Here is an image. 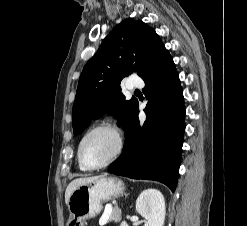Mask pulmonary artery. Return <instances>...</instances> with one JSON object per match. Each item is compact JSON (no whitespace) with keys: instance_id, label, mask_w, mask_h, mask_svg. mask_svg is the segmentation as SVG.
I'll return each instance as SVG.
<instances>
[{"instance_id":"1","label":"pulmonary artery","mask_w":247,"mask_h":226,"mask_svg":"<svg viewBox=\"0 0 247 226\" xmlns=\"http://www.w3.org/2000/svg\"><path fill=\"white\" fill-rule=\"evenodd\" d=\"M144 86L143 81L138 77H131L128 81L127 88L132 89H139Z\"/></svg>"}]
</instances>
